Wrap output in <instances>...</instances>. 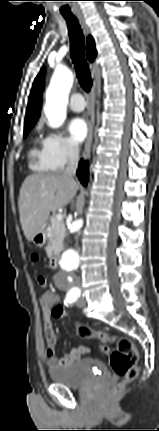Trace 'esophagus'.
<instances>
[{"label": "esophagus", "mask_w": 159, "mask_h": 431, "mask_svg": "<svg viewBox=\"0 0 159 431\" xmlns=\"http://www.w3.org/2000/svg\"><path fill=\"white\" fill-rule=\"evenodd\" d=\"M80 24L82 26V29L87 34L89 32L87 25L85 24L82 17H79ZM92 90L90 94V101H89V119H88V134L84 146L83 151V159L87 160L90 156L91 152V144L93 140V129H94V104H95V98H96V90H97V77H96V71L95 68L92 67Z\"/></svg>", "instance_id": "1"}]
</instances>
